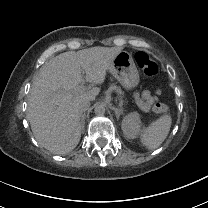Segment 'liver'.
Listing matches in <instances>:
<instances>
[{"mask_svg": "<svg viewBox=\"0 0 208 208\" xmlns=\"http://www.w3.org/2000/svg\"><path fill=\"white\" fill-rule=\"evenodd\" d=\"M122 47H91L68 51L46 62L35 78L27 106V117L37 142L49 152H71L81 138L79 97L95 101L101 88L79 91L82 69L91 82L100 86L107 77L113 59Z\"/></svg>", "mask_w": 208, "mask_h": 208, "instance_id": "1", "label": "liver"}]
</instances>
